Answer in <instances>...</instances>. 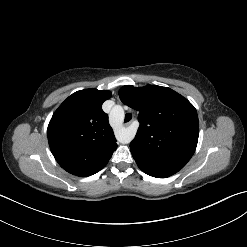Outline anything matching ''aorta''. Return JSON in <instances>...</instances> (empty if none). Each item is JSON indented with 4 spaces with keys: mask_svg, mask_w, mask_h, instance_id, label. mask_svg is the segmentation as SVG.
<instances>
[{
    "mask_svg": "<svg viewBox=\"0 0 247 247\" xmlns=\"http://www.w3.org/2000/svg\"><path fill=\"white\" fill-rule=\"evenodd\" d=\"M111 118L117 120L119 123H122L124 120V110L122 106L116 105L111 110ZM136 134V128L133 126L130 127H120L117 132V139L120 143H130Z\"/></svg>",
    "mask_w": 247,
    "mask_h": 247,
    "instance_id": "aorta-1",
    "label": "aorta"
}]
</instances>
